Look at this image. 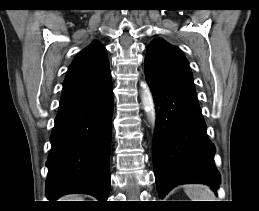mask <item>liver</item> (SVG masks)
Instances as JSON below:
<instances>
[{"mask_svg":"<svg viewBox=\"0 0 259 211\" xmlns=\"http://www.w3.org/2000/svg\"><path fill=\"white\" fill-rule=\"evenodd\" d=\"M62 199H69V200H63V201H83L81 200L83 199V197L79 195H68L63 197Z\"/></svg>","mask_w":259,"mask_h":211,"instance_id":"1","label":"liver"}]
</instances>
